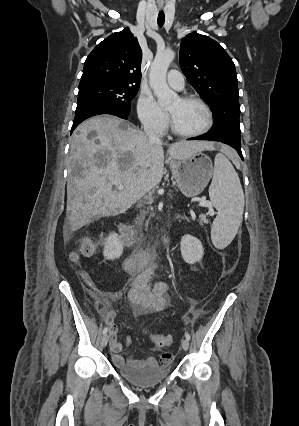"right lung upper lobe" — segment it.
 <instances>
[{"label":"right lung upper lobe","instance_id":"obj_1","mask_svg":"<svg viewBox=\"0 0 299 426\" xmlns=\"http://www.w3.org/2000/svg\"><path fill=\"white\" fill-rule=\"evenodd\" d=\"M142 51L128 28L100 42L87 57L79 85L114 83L139 87Z\"/></svg>","mask_w":299,"mask_h":426}]
</instances>
